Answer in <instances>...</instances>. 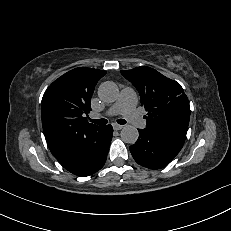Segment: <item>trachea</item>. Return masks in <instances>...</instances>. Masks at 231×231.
Returning <instances> with one entry per match:
<instances>
[{"instance_id": "obj_1", "label": "trachea", "mask_w": 231, "mask_h": 231, "mask_svg": "<svg viewBox=\"0 0 231 231\" xmlns=\"http://www.w3.org/2000/svg\"><path fill=\"white\" fill-rule=\"evenodd\" d=\"M92 123L98 124V125H105L108 123L106 119H90ZM118 124L124 125L126 124V121L124 119H118L117 120Z\"/></svg>"}]
</instances>
